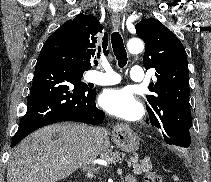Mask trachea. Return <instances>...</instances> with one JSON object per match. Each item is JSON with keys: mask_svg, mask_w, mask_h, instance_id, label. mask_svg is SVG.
Wrapping results in <instances>:
<instances>
[{"mask_svg": "<svg viewBox=\"0 0 211 182\" xmlns=\"http://www.w3.org/2000/svg\"><path fill=\"white\" fill-rule=\"evenodd\" d=\"M111 43L114 55L116 56V59L118 61V65L119 67L123 68L127 64L128 57L122 37L119 32H113L111 34ZM96 65H98V62L96 63Z\"/></svg>", "mask_w": 211, "mask_h": 182, "instance_id": "1", "label": "trachea"}]
</instances>
